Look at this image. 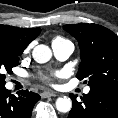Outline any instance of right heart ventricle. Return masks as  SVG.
<instances>
[{
    "mask_svg": "<svg viewBox=\"0 0 118 118\" xmlns=\"http://www.w3.org/2000/svg\"><path fill=\"white\" fill-rule=\"evenodd\" d=\"M56 41H63V39L60 38V37H56V38L53 39V42H56ZM53 42H52V43H53Z\"/></svg>",
    "mask_w": 118,
    "mask_h": 118,
    "instance_id": "1",
    "label": "right heart ventricle"
}]
</instances>
